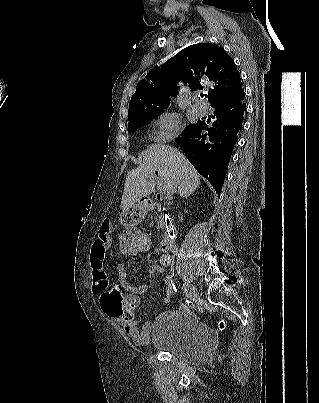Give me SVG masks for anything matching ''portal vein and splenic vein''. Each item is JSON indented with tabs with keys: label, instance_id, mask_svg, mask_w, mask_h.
Listing matches in <instances>:
<instances>
[{
	"label": "portal vein and splenic vein",
	"instance_id": "portal-vein-and-splenic-vein-1",
	"mask_svg": "<svg viewBox=\"0 0 319 403\" xmlns=\"http://www.w3.org/2000/svg\"><path fill=\"white\" fill-rule=\"evenodd\" d=\"M158 189L160 191V193H166L167 192V187L165 185V183L163 182L162 179L158 180Z\"/></svg>",
	"mask_w": 319,
	"mask_h": 403
}]
</instances>
